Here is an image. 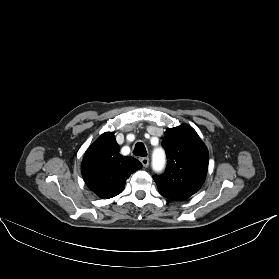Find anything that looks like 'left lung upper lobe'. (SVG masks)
I'll use <instances>...</instances> for the list:
<instances>
[{
	"mask_svg": "<svg viewBox=\"0 0 279 279\" xmlns=\"http://www.w3.org/2000/svg\"><path fill=\"white\" fill-rule=\"evenodd\" d=\"M162 146L168 159L166 171L153 176L159 193L174 201L186 200L205 181L208 149L196 131L186 124L167 129Z\"/></svg>",
	"mask_w": 279,
	"mask_h": 279,
	"instance_id": "left-lung-upper-lobe-1",
	"label": "left lung upper lobe"
}]
</instances>
